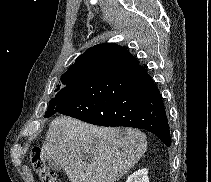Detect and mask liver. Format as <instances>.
<instances>
[{
  "label": "liver",
  "instance_id": "obj_1",
  "mask_svg": "<svg viewBox=\"0 0 211 182\" xmlns=\"http://www.w3.org/2000/svg\"><path fill=\"white\" fill-rule=\"evenodd\" d=\"M146 149V135L137 129L97 127L60 116L50 123L41 156L56 161L70 182H116Z\"/></svg>",
  "mask_w": 211,
  "mask_h": 182
}]
</instances>
